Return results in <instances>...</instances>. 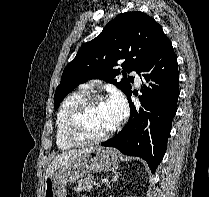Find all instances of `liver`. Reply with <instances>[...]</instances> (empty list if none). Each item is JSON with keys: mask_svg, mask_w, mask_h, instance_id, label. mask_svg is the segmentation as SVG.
<instances>
[{"mask_svg": "<svg viewBox=\"0 0 209 197\" xmlns=\"http://www.w3.org/2000/svg\"><path fill=\"white\" fill-rule=\"evenodd\" d=\"M92 149L93 147H88L81 150H71L56 156V158L48 166L45 178L50 177L57 169L68 164L70 161L88 154Z\"/></svg>", "mask_w": 209, "mask_h": 197, "instance_id": "1", "label": "liver"}]
</instances>
